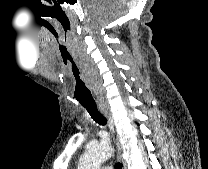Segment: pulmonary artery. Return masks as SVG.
Returning a JSON list of instances; mask_svg holds the SVG:
<instances>
[{
	"label": "pulmonary artery",
	"mask_w": 208,
	"mask_h": 169,
	"mask_svg": "<svg viewBox=\"0 0 208 169\" xmlns=\"http://www.w3.org/2000/svg\"><path fill=\"white\" fill-rule=\"evenodd\" d=\"M100 169H112V167H110V166H108V165H103V166H101Z\"/></svg>",
	"instance_id": "pulmonary-artery-1"
}]
</instances>
